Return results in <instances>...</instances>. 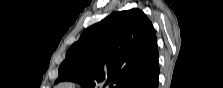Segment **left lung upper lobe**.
<instances>
[{
  "label": "left lung upper lobe",
  "mask_w": 223,
  "mask_h": 88,
  "mask_svg": "<svg viewBox=\"0 0 223 88\" xmlns=\"http://www.w3.org/2000/svg\"><path fill=\"white\" fill-rule=\"evenodd\" d=\"M158 59L156 33L139 9L114 12L87 28L68 50L56 83L70 80L94 88L108 77L126 88Z\"/></svg>",
  "instance_id": "5c2ea615"
}]
</instances>
